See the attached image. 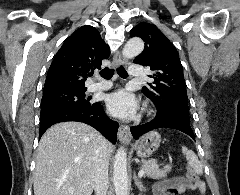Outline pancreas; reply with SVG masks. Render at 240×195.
<instances>
[{"instance_id":"1","label":"pancreas","mask_w":240,"mask_h":195,"mask_svg":"<svg viewBox=\"0 0 240 195\" xmlns=\"http://www.w3.org/2000/svg\"><path fill=\"white\" fill-rule=\"evenodd\" d=\"M142 167L144 169L145 175L152 177V179H162L166 177L168 171L171 167H165V169H159L157 159H141Z\"/></svg>"}]
</instances>
